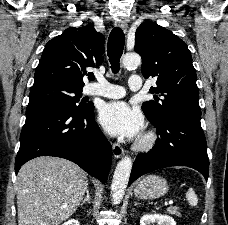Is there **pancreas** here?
Instances as JSON below:
<instances>
[{
	"mask_svg": "<svg viewBox=\"0 0 228 225\" xmlns=\"http://www.w3.org/2000/svg\"><path fill=\"white\" fill-rule=\"evenodd\" d=\"M167 211L169 215H177V217H181V213H179V207H168Z\"/></svg>",
	"mask_w": 228,
	"mask_h": 225,
	"instance_id": "pancreas-1",
	"label": "pancreas"
}]
</instances>
